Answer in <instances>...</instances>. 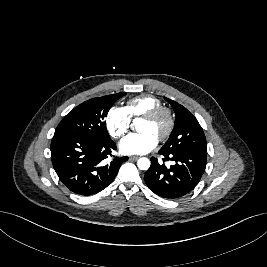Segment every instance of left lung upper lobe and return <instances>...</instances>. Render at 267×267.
<instances>
[{
    "mask_svg": "<svg viewBox=\"0 0 267 267\" xmlns=\"http://www.w3.org/2000/svg\"><path fill=\"white\" fill-rule=\"evenodd\" d=\"M175 112V125L168 141L160 149L163 153L195 151L207 154L204 132L193 114L179 103L165 98Z\"/></svg>",
    "mask_w": 267,
    "mask_h": 267,
    "instance_id": "5c2ea615",
    "label": "left lung upper lobe"
}]
</instances>
